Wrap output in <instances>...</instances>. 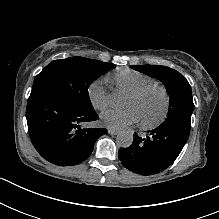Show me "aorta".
Masks as SVG:
<instances>
[{
  "mask_svg": "<svg viewBox=\"0 0 219 219\" xmlns=\"http://www.w3.org/2000/svg\"><path fill=\"white\" fill-rule=\"evenodd\" d=\"M112 107H122L125 103V97L121 93L113 92L108 97ZM133 142V133L129 130H123L117 135V144L122 148H128Z\"/></svg>",
  "mask_w": 219,
  "mask_h": 219,
  "instance_id": "1",
  "label": "aorta"
}]
</instances>
